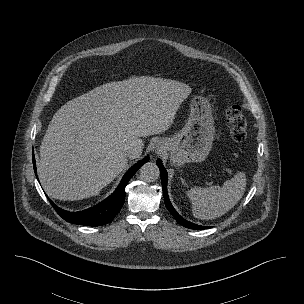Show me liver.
<instances>
[{
    "instance_id": "obj_1",
    "label": "liver",
    "mask_w": 304,
    "mask_h": 304,
    "mask_svg": "<svg viewBox=\"0 0 304 304\" xmlns=\"http://www.w3.org/2000/svg\"><path fill=\"white\" fill-rule=\"evenodd\" d=\"M190 86L150 76L110 82L68 101L53 116L37 170L45 192L59 200L96 195L128 165L126 150L141 137L169 129ZM131 158V159H134Z\"/></svg>"
}]
</instances>
